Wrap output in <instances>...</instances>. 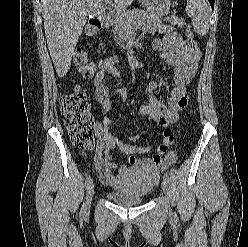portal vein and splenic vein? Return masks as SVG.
<instances>
[{
    "instance_id": "obj_1",
    "label": "portal vein and splenic vein",
    "mask_w": 248,
    "mask_h": 247,
    "mask_svg": "<svg viewBox=\"0 0 248 247\" xmlns=\"http://www.w3.org/2000/svg\"><path fill=\"white\" fill-rule=\"evenodd\" d=\"M102 11H105V7L102 9Z\"/></svg>"
}]
</instances>
